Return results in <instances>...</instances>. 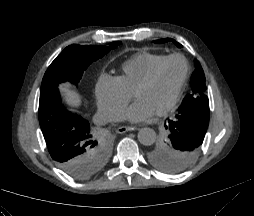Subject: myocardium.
Here are the masks:
<instances>
[{"label": "myocardium", "mask_w": 254, "mask_h": 216, "mask_svg": "<svg viewBox=\"0 0 254 216\" xmlns=\"http://www.w3.org/2000/svg\"><path fill=\"white\" fill-rule=\"evenodd\" d=\"M172 59H179L183 62L184 64V72H183V76L181 78V81L178 85V88L174 94V96L172 97V99L170 100V102L165 106L163 107L161 110L157 111L156 114L158 116H162V115H165L167 114L169 111H171L175 105L177 104L181 94H182V91H183V88L185 86V83L188 79V76H189V72H190V65H189V62L188 60L186 59V57L182 54H179V53H176V54H171V55H168L166 57H164L162 60H160L155 66L154 68L151 70V72L148 74V76L137 86V88L134 90L133 92V95L134 97L136 96V93L142 89H145L147 88L148 86H150L157 78L162 66L168 62L169 60H172Z\"/></svg>", "instance_id": "f54148a6"}]
</instances>
